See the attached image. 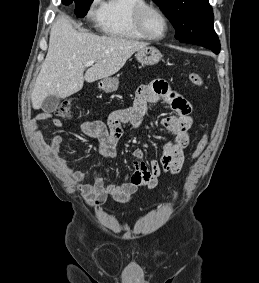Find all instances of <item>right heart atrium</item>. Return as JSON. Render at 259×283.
Here are the masks:
<instances>
[{"label":"right heart atrium","instance_id":"1","mask_svg":"<svg viewBox=\"0 0 259 283\" xmlns=\"http://www.w3.org/2000/svg\"><path fill=\"white\" fill-rule=\"evenodd\" d=\"M103 0H92L87 12V16L94 22H99L102 15Z\"/></svg>","mask_w":259,"mask_h":283}]
</instances>
